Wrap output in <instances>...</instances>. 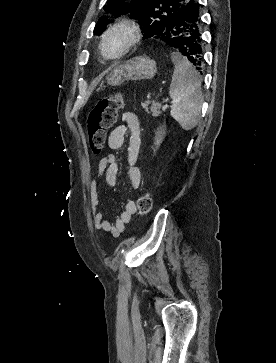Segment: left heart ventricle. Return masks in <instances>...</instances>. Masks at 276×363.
<instances>
[{
	"label": "left heart ventricle",
	"mask_w": 276,
	"mask_h": 363,
	"mask_svg": "<svg viewBox=\"0 0 276 363\" xmlns=\"http://www.w3.org/2000/svg\"><path fill=\"white\" fill-rule=\"evenodd\" d=\"M125 38L121 34H116L110 37L106 44V50L109 54L117 53L123 46Z\"/></svg>",
	"instance_id": "obj_1"
}]
</instances>
